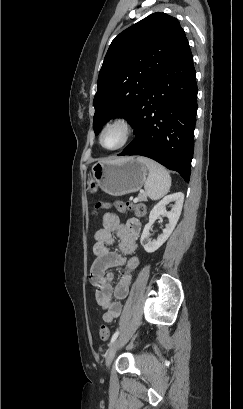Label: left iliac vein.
<instances>
[{
    "label": "left iliac vein",
    "mask_w": 243,
    "mask_h": 409,
    "mask_svg": "<svg viewBox=\"0 0 243 409\" xmlns=\"http://www.w3.org/2000/svg\"><path fill=\"white\" fill-rule=\"evenodd\" d=\"M119 343H120V338H117V339L111 344V346L109 347V349H108V351H107V354H106V356H105V365H106L107 368L110 367V365H111V363H112V361H113V358H114V356H115V354H116V351H117V349H118Z\"/></svg>",
    "instance_id": "4c4485c4"
}]
</instances>
